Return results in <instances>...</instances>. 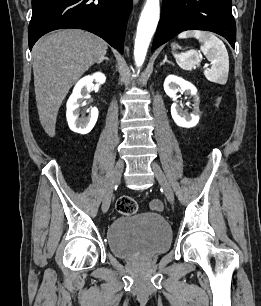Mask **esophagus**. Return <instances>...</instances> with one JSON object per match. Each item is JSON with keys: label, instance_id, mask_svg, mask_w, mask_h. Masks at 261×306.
Returning <instances> with one entry per match:
<instances>
[{"label": "esophagus", "instance_id": "obj_1", "mask_svg": "<svg viewBox=\"0 0 261 306\" xmlns=\"http://www.w3.org/2000/svg\"><path fill=\"white\" fill-rule=\"evenodd\" d=\"M134 1V4H137L139 2V0H133Z\"/></svg>", "mask_w": 261, "mask_h": 306}]
</instances>
